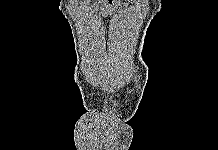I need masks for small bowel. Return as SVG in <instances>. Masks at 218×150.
I'll use <instances>...</instances> for the list:
<instances>
[{
  "instance_id": "obj_1",
  "label": "small bowel",
  "mask_w": 218,
  "mask_h": 150,
  "mask_svg": "<svg viewBox=\"0 0 218 150\" xmlns=\"http://www.w3.org/2000/svg\"><path fill=\"white\" fill-rule=\"evenodd\" d=\"M130 3L135 4L138 0H128ZM101 9V16L108 17L112 13H114L116 7L114 5L113 0H98V2L93 3L90 6V10Z\"/></svg>"
}]
</instances>
